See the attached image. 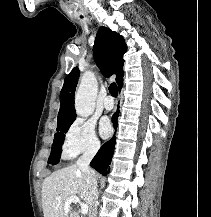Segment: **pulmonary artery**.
I'll return each instance as SVG.
<instances>
[{
  "label": "pulmonary artery",
  "instance_id": "pulmonary-artery-1",
  "mask_svg": "<svg viewBox=\"0 0 211 217\" xmlns=\"http://www.w3.org/2000/svg\"><path fill=\"white\" fill-rule=\"evenodd\" d=\"M103 106L106 110H112L114 108V102L111 96H107L104 99Z\"/></svg>",
  "mask_w": 211,
  "mask_h": 217
}]
</instances>
